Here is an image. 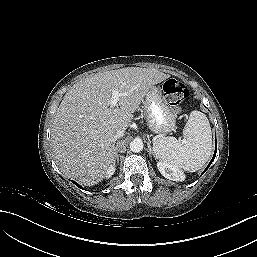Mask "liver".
I'll list each match as a JSON object with an SVG mask.
<instances>
[{"label":"liver","mask_w":257,"mask_h":257,"mask_svg":"<svg viewBox=\"0 0 257 257\" xmlns=\"http://www.w3.org/2000/svg\"><path fill=\"white\" fill-rule=\"evenodd\" d=\"M169 77L154 68L127 67L74 84L57 108L51 133L61 172L85 186L99 183L115 163L113 134L128 128L147 92ZM113 91L126 93L116 107L110 105Z\"/></svg>","instance_id":"1"}]
</instances>
